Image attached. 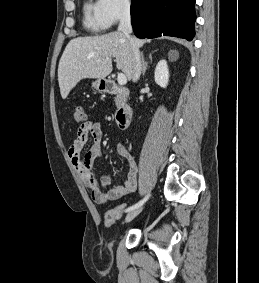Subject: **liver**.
<instances>
[{
    "instance_id": "obj_1",
    "label": "liver",
    "mask_w": 259,
    "mask_h": 283,
    "mask_svg": "<svg viewBox=\"0 0 259 283\" xmlns=\"http://www.w3.org/2000/svg\"><path fill=\"white\" fill-rule=\"evenodd\" d=\"M139 49L145 40L131 37ZM112 58L116 67L132 78V51L122 32L101 36L77 37L66 46L58 66L60 93L66 99L79 81L85 78L104 79L112 72Z\"/></svg>"
}]
</instances>
